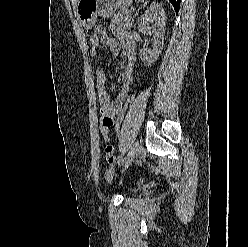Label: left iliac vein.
Segmentation results:
<instances>
[{
  "label": "left iliac vein",
  "mask_w": 248,
  "mask_h": 247,
  "mask_svg": "<svg viewBox=\"0 0 248 247\" xmlns=\"http://www.w3.org/2000/svg\"><path fill=\"white\" fill-rule=\"evenodd\" d=\"M140 149H141L140 143L138 140H136L123 161V169H122L123 172H125L128 169L133 158L140 151Z\"/></svg>",
  "instance_id": "4c4485c4"
}]
</instances>
